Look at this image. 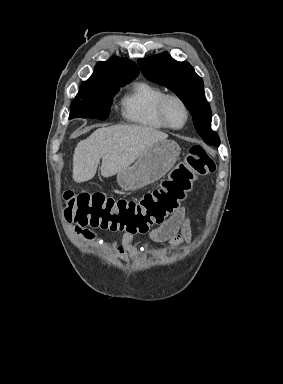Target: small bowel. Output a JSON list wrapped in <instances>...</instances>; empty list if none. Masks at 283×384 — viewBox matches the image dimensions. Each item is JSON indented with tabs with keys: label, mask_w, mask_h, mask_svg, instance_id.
<instances>
[{
	"label": "small bowel",
	"mask_w": 283,
	"mask_h": 384,
	"mask_svg": "<svg viewBox=\"0 0 283 384\" xmlns=\"http://www.w3.org/2000/svg\"><path fill=\"white\" fill-rule=\"evenodd\" d=\"M78 236L86 240H92L95 234L80 226L74 229ZM134 235L125 233L120 243L114 242L115 249L120 256L130 255L138 257V249L132 245ZM148 237L154 242H167L171 248H175L190 237V222L185 208H179L159 227L148 232Z\"/></svg>",
	"instance_id": "1"
}]
</instances>
